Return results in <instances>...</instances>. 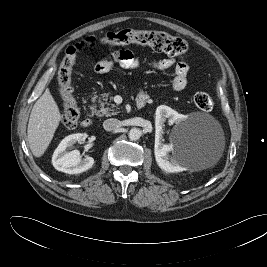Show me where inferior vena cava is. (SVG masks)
Returning <instances> with one entry per match:
<instances>
[{
	"instance_id": "obj_1",
	"label": "inferior vena cava",
	"mask_w": 267,
	"mask_h": 267,
	"mask_svg": "<svg viewBox=\"0 0 267 267\" xmlns=\"http://www.w3.org/2000/svg\"><path fill=\"white\" fill-rule=\"evenodd\" d=\"M121 126V122L118 119L110 118L103 122V127L107 131H113Z\"/></svg>"
}]
</instances>
